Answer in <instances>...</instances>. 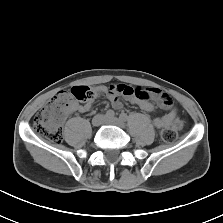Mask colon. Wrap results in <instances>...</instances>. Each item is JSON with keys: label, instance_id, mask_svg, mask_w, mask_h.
Here are the masks:
<instances>
[{"label": "colon", "instance_id": "obj_1", "mask_svg": "<svg viewBox=\"0 0 223 223\" xmlns=\"http://www.w3.org/2000/svg\"><path fill=\"white\" fill-rule=\"evenodd\" d=\"M124 92L141 100L148 98L147 91L141 88H128ZM97 94L96 89L89 86H75L69 91H60L35 115L32 123L34 132L53 143H59L63 135L62 122L75 101H90ZM162 138L166 143H174L177 140L175 126L165 125L162 130Z\"/></svg>", "mask_w": 223, "mask_h": 223}]
</instances>
